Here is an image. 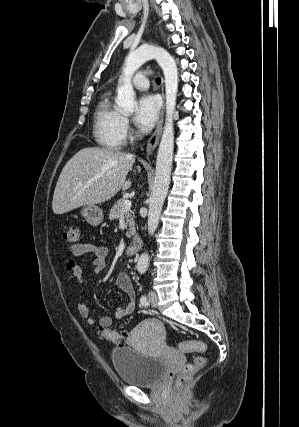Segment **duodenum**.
<instances>
[{
  "instance_id": "410a0bca",
  "label": "duodenum",
  "mask_w": 299,
  "mask_h": 427,
  "mask_svg": "<svg viewBox=\"0 0 299 427\" xmlns=\"http://www.w3.org/2000/svg\"><path fill=\"white\" fill-rule=\"evenodd\" d=\"M140 243H141L140 238L139 237H134L131 240L128 248L126 249V255L127 256H133V255H135L138 252V250H139Z\"/></svg>"
}]
</instances>
